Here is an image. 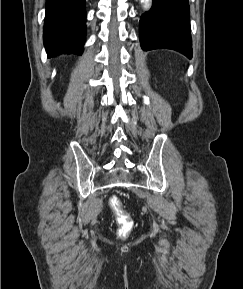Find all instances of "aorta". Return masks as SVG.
<instances>
[{
  "label": "aorta",
  "instance_id": "1",
  "mask_svg": "<svg viewBox=\"0 0 243 289\" xmlns=\"http://www.w3.org/2000/svg\"><path fill=\"white\" fill-rule=\"evenodd\" d=\"M140 2L145 6V7H148L151 0H140Z\"/></svg>",
  "mask_w": 243,
  "mask_h": 289
}]
</instances>
